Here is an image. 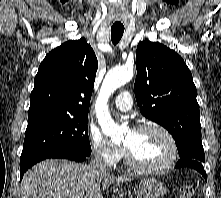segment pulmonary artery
<instances>
[{"instance_id": "1", "label": "pulmonary artery", "mask_w": 221, "mask_h": 198, "mask_svg": "<svg viewBox=\"0 0 221 198\" xmlns=\"http://www.w3.org/2000/svg\"><path fill=\"white\" fill-rule=\"evenodd\" d=\"M115 107L123 112L129 111L132 107V98L128 91L121 92L114 101Z\"/></svg>"}]
</instances>
